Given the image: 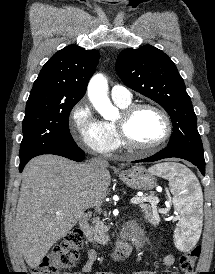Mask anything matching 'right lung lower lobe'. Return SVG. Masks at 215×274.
Segmentation results:
<instances>
[{
	"mask_svg": "<svg viewBox=\"0 0 215 274\" xmlns=\"http://www.w3.org/2000/svg\"><path fill=\"white\" fill-rule=\"evenodd\" d=\"M46 154L59 155V156L66 157L71 160H75V161H82L85 157L84 151L82 149H80L77 145L72 146V147H66V148L52 150V151L47 152ZM30 159L20 160V166H19L20 172H22L24 166Z\"/></svg>",
	"mask_w": 215,
	"mask_h": 274,
	"instance_id": "right-lung-lower-lobe-1",
	"label": "right lung lower lobe"
}]
</instances>
